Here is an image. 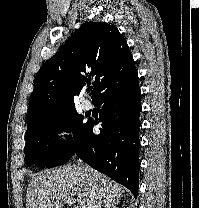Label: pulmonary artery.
<instances>
[{
	"label": "pulmonary artery",
	"instance_id": "obj_1",
	"mask_svg": "<svg viewBox=\"0 0 199 208\" xmlns=\"http://www.w3.org/2000/svg\"><path fill=\"white\" fill-rule=\"evenodd\" d=\"M82 109L88 111L92 108V104L89 100L83 99L81 102Z\"/></svg>",
	"mask_w": 199,
	"mask_h": 208
}]
</instances>
